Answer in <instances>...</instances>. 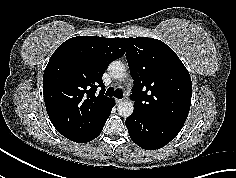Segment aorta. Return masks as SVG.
Wrapping results in <instances>:
<instances>
[{
  "label": "aorta",
  "instance_id": "762f6f07",
  "mask_svg": "<svg viewBox=\"0 0 236 178\" xmlns=\"http://www.w3.org/2000/svg\"><path fill=\"white\" fill-rule=\"evenodd\" d=\"M110 75L115 79H122L126 75V67L120 61H113L108 67ZM134 110L132 101H122L118 104V113L120 116L129 117Z\"/></svg>",
  "mask_w": 236,
  "mask_h": 178
}]
</instances>
